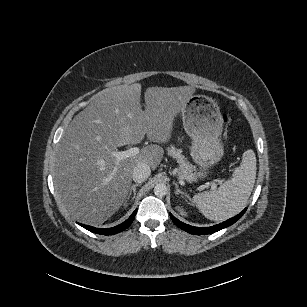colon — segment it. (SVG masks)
<instances>
[{
  "label": "colon",
  "instance_id": "colon-1",
  "mask_svg": "<svg viewBox=\"0 0 307 307\" xmlns=\"http://www.w3.org/2000/svg\"><path fill=\"white\" fill-rule=\"evenodd\" d=\"M223 123L225 124V126L227 127L228 124L230 123V117L227 114H223Z\"/></svg>",
  "mask_w": 307,
  "mask_h": 307
}]
</instances>
